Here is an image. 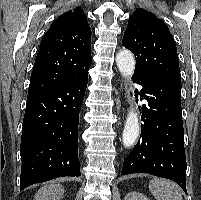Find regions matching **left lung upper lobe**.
Returning <instances> with one entry per match:
<instances>
[{
    "instance_id": "left-lung-upper-lobe-1",
    "label": "left lung upper lobe",
    "mask_w": 201,
    "mask_h": 200,
    "mask_svg": "<svg viewBox=\"0 0 201 200\" xmlns=\"http://www.w3.org/2000/svg\"><path fill=\"white\" fill-rule=\"evenodd\" d=\"M122 44L135 55L134 76L180 79L174 39L166 24L152 12L140 8L130 16Z\"/></svg>"
}]
</instances>
